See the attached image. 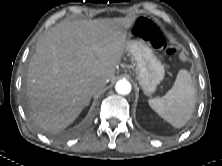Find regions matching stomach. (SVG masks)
Listing matches in <instances>:
<instances>
[{"mask_svg": "<svg viewBox=\"0 0 222 166\" xmlns=\"http://www.w3.org/2000/svg\"><path fill=\"white\" fill-rule=\"evenodd\" d=\"M128 52L136 65V79L143 92L147 95L154 93L164 78L163 64L154 55L148 43L142 39L130 40Z\"/></svg>", "mask_w": 222, "mask_h": 166, "instance_id": "obj_1", "label": "stomach"}]
</instances>
